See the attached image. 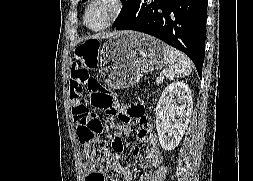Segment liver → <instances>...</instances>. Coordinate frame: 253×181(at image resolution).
Segmentation results:
<instances>
[{
	"label": "liver",
	"instance_id": "1",
	"mask_svg": "<svg viewBox=\"0 0 253 181\" xmlns=\"http://www.w3.org/2000/svg\"><path fill=\"white\" fill-rule=\"evenodd\" d=\"M102 37V35L101 34H98V35H94V36H92V38H94V39H100Z\"/></svg>",
	"mask_w": 253,
	"mask_h": 181
}]
</instances>
